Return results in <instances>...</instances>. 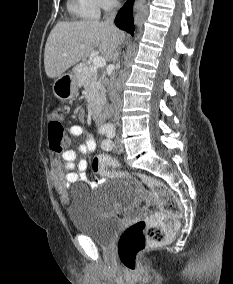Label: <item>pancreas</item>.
Masks as SVG:
<instances>
[{
	"instance_id": "obj_1",
	"label": "pancreas",
	"mask_w": 233,
	"mask_h": 284,
	"mask_svg": "<svg viewBox=\"0 0 233 284\" xmlns=\"http://www.w3.org/2000/svg\"><path fill=\"white\" fill-rule=\"evenodd\" d=\"M74 71L86 91L85 98L89 105L103 106L106 103V90L94 66L81 64L75 67Z\"/></svg>"
}]
</instances>
